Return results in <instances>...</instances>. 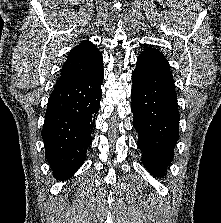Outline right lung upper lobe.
<instances>
[{
  "label": "right lung upper lobe",
  "instance_id": "obj_1",
  "mask_svg": "<svg viewBox=\"0 0 221 223\" xmlns=\"http://www.w3.org/2000/svg\"><path fill=\"white\" fill-rule=\"evenodd\" d=\"M102 56L93 43L83 42L70 51L56 87H63L88 76L102 64Z\"/></svg>",
  "mask_w": 221,
  "mask_h": 223
}]
</instances>
